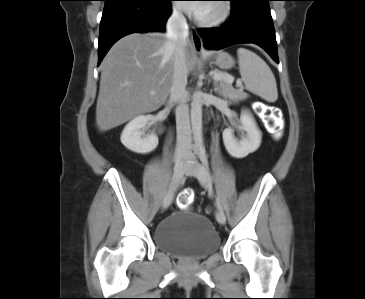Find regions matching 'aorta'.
Returning <instances> with one entry per match:
<instances>
[{"mask_svg":"<svg viewBox=\"0 0 365 299\" xmlns=\"http://www.w3.org/2000/svg\"><path fill=\"white\" fill-rule=\"evenodd\" d=\"M202 103L201 94H195L191 102V124L195 145L198 148H202L203 146Z\"/></svg>","mask_w":365,"mask_h":299,"instance_id":"aorta-1","label":"aorta"}]
</instances>
